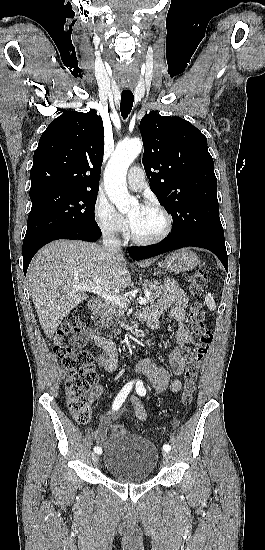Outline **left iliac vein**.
<instances>
[{"instance_id": "1", "label": "left iliac vein", "mask_w": 265, "mask_h": 550, "mask_svg": "<svg viewBox=\"0 0 265 550\" xmlns=\"http://www.w3.org/2000/svg\"><path fill=\"white\" fill-rule=\"evenodd\" d=\"M169 458H170L169 452H168V451H164V452H163L164 463H168Z\"/></svg>"}]
</instances>
